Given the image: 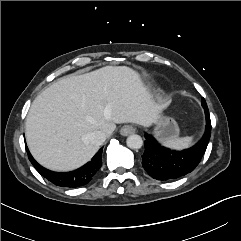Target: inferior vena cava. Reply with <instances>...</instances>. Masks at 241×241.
<instances>
[{
	"label": "inferior vena cava",
	"instance_id": "inferior-vena-cava-1",
	"mask_svg": "<svg viewBox=\"0 0 241 241\" xmlns=\"http://www.w3.org/2000/svg\"><path fill=\"white\" fill-rule=\"evenodd\" d=\"M106 137V134L101 130L94 131L88 135L90 143L96 146L102 145L105 142Z\"/></svg>",
	"mask_w": 241,
	"mask_h": 241
}]
</instances>
